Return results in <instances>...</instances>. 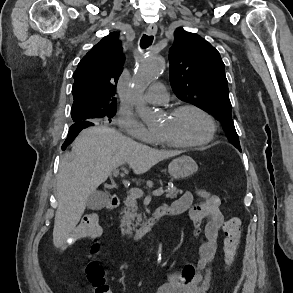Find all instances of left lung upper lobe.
Returning <instances> with one entry per match:
<instances>
[{
	"instance_id": "1",
	"label": "left lung upper lobe",
	"mask_w": 293,
	"mask_h": 293,
	"mask_svg": "<svg viewBox=\"0 0 293 293\" xmlns=\"http://www.w3.org/2000/svg\"><path fill=\"white\" fill-rule=\"evenodd\" d=\"M169 60L174 93L220 121L228 140L241 150L231 116L225 65L219 52L197 34L180 28L169 50Z\"/></svg>"
}]
</instances>
